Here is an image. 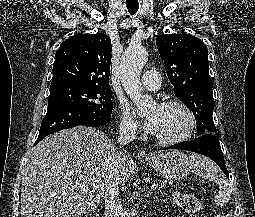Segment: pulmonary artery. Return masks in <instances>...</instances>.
<instances>
[{"label":"pulmonary artery","mask_w":255,"mask_h":217,"mask_svg":"<svg viewBox=\"0 0 255 217\" xmlns=\"http://www.w3.org/2000/svg\"><path fill=\"white\" fill-rule=\"evenodd\" d=\"M141 85L144 90H158L161 85V77L159 72L156 70H147L142 76Z\"/></svg>","instance_id":"e3ab8cb5"}]
</instances>
